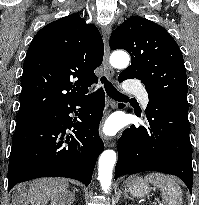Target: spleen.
Returning a JSON list of instances; mask_svg holds the SVG:
<instances>
[{"mask_svg":"<svg viewBox=\"0 0 199 205\" xmlns=\"http://www.w3.org/2000/svg\"><path fill=\"white\" fill-rule=\"evenodd\" d=\"M145 180L161 189L166 205H182V191L173 178L161 173H150L145 176Z\"/></svg>","mask_w":199,"mask_h":205,"instance_id":"obj_1","label":"spleen"}]
</instances>
